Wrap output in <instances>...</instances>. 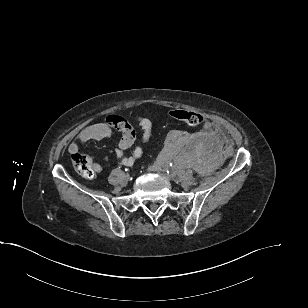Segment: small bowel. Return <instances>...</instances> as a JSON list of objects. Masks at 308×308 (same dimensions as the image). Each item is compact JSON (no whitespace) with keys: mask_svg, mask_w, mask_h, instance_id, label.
<instances>
[{"mask_svg":"<svg viewBox=\"0 0 308 308\" xmlns=\"http://www.w3.org/2000/svg\"><path fill=\"white\" fill-rule=\"evenodd\" d=\"M138 125L142 130L141 145L136 146L131 155L126 156L125 150L131 148L136 141V132L131 124L123 117L117 115H109L104 122L89 125L82 129L78 135V141L86 143L89 141H100L111 138L115 132L120 133V139L115 149V153L120 163L124 166H132L143 154V144L147 143L152 130L151 121L143 116L135 117ZM79 150V145L75 142L69 146L71 154ZM95 173L101 171V166L97 163L93 165Z\"/></svg>","mask_w":308,"mask_h":308,"instance_id":"1","label":"small bowel"}]
</instances>
